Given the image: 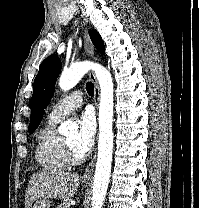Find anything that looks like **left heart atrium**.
<instances>
[{"mask_svg":"<svg viewBox=\"0 0 199 208\" xmlns=\"http://www.w3.org/2000/svg\"><path fill=\"white\" fill-rule=\"evenodd\" d=\"M79 134L76 141V149L85 155L93 145L96 132L95 117L90 110H85L77 119Z\"/></svg>","mask_w":199,"mask_h":208,"instance_id":"left-heart-atrium-1","label":"left heart atrium"}]
</instances>
